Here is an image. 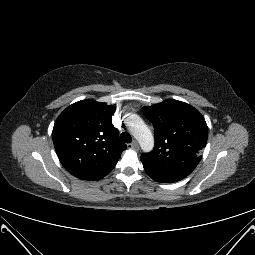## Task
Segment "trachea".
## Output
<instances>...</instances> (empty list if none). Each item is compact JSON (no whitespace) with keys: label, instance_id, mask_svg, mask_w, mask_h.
Returning <instances> with one entry per match:
<instances>
[{"label":"trachea","instance_id":"3493384b","mask_svg":"<svg viewBox=\"0 0 255 255\" xmlns=\"http://www.w3.org/2000/svg\"><path fill=\"white\" fill-rule=\"evenodd\" d=\"M120 139L125 143H131L132 141V138L128 132L121 133Z\"/></svg>","mask_w":255,"mask_h":255}]
</instances>
